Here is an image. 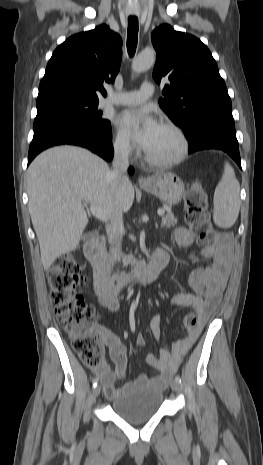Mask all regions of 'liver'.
Instances as JSON below:
<instances>
[{"mask_svg": "<svg viewBox=\"0 0 263 465\" xmlns=\"http://www.w3.org/2000/svg\"><path fill=\"white\" fill-rule=\"evenodd\" d=\"M110 173L103 159L69 145L48 149L32 161L27 170L28 207L45 270L79 245L88 224L85 203L101 207L109 218L131 208V182L116 186Z\"/></svg>", "mask_w": 263, "mask_h": 465, "instance_id": "obj_1", "label": "liver"}]
</instances>
